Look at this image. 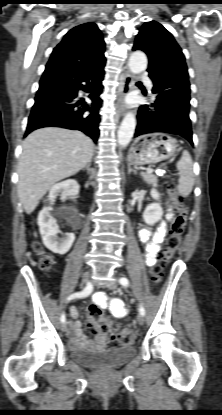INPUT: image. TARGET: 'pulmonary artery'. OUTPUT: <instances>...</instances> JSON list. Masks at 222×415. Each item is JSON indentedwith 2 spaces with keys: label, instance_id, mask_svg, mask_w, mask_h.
<instances>
[{
  "label": "pulmonary artery",
  "instance_id": "e3ab8cb5",
  "mask_svg": "<svg viewBox=\"0 0 222 415\" xmlns=\"http://www.w3.org/2000/svg\"><path fill=\"white\" fill-rule=\"evenodd\" d=\"M143 79L145 81L146 86L148 87V89H152V82L150 81V79L147 76H143Z\"/></svg>",
  "mask_w": 222,
  "mask_h": 415
}]
</instances>
